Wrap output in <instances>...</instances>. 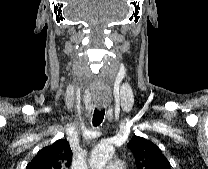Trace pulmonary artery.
I'll use <instances>...</instances> for the list:
<instances>
[{
	"label": "pulmonary artery",
	"instance_id": "1",
	"mask_svg": "<svg viewBox=\"0 0 208 169\" xmlns=\"http://www.w3.org/2000/svg\"><path fill=\"white\" fill-rule=\"evenodd\" d=\"M107 169H125L124 163L120 159H114L106 167Z\"/></svg>",
	"mask_w": 208,
	"mask_h": 169
}]
</instances>
